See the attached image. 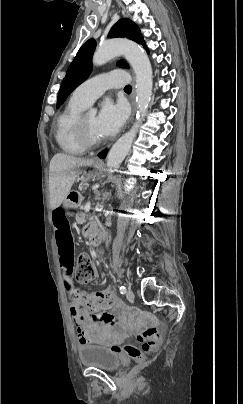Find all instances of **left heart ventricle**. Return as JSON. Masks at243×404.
I'll use <instances>...</instances> for the list:
<instances>
[{
	"label": "left heart ventricle",
	"instance_id": "b2bd125f",
	"mask_svg": "<svg viewBox=\"0 0 243 404\" xmlns=\"http://www.w3.org/2000/svg\"><path fill=\"white\" fill-rule=\"evenodd\" d=\"M95 120L96 118L90 115H85L83 118L84 129L86 133L92 138H97L95 133Z\"/></svg>",
	"mask_w": 243,
	"mask_h": 404
}]
</instances>
